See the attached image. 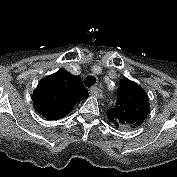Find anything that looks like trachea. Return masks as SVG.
Listing matches in <instances>:
<instances>
[{"label": "trachea", "mask_w": 177, "mask_h": 177, "mask_svg": "<svg viewBox=\"0 0 177 177\" xmlns=\"http://www.w3.org/2000/svg\"><path fill=\"white\" fill-rule=\"evenodd\" d=\"M96 82V78L92 75L88 76L86 79H85V84L87 87H91L92 85H94Z\"/></svg>", "instance_id": "1"}]
</instances>
